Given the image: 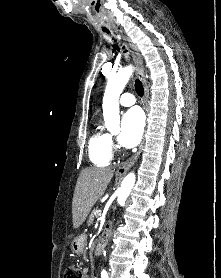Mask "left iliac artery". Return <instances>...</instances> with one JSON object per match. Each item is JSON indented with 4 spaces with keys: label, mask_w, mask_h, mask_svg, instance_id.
<instances>
[{
    "label": "left iliac artery",
    "mask_w": 221,
    "mask_h": 278,
    "mask_svg": "<svg viewBox=\"0 0 221 278\" xmlns=\"http://www.w3.org/2000/svg\"><path fill=\"white\" fill-rule=\"evenodd\" d=\"M101 277L102 278H108V274H107V272L105 270H102Z\"/></svg>",
    "instance_id": "1"
}]
</instances>
